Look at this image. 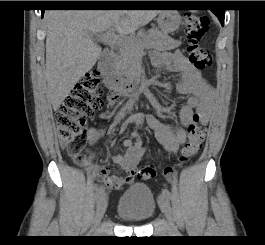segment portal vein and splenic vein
<instances>
[{
    "label": "portal vein and splenic vein",
    "mask_w": 265,
    "mask_h": 245,
    "mask_svg": "<svg viewBox=\"0 0 265 245\" xmlns=\"http://www.w3.org/2000/svg\"><path fill=\"white\" fill-rule=\"evenodd\" d=\"M96 37L99 41L111 45H125L131 42L130 38L123 34H115L113 29H109L105 33L97 34Z\"/></svg>",
    "instance_id": "1"
}]
</instances>
